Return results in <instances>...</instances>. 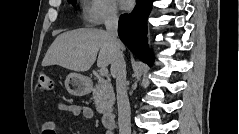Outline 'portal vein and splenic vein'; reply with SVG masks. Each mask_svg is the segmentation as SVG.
Wrapping results in <instances>:
<instances>
[{"label": "portal vein and splenic vein", "mask_w": 239, "mask_h": 134, "mask_svg": "<svg viewBox=\"0 0 239 134\" xmlns=\"http://www.w3.org/2000/svg\"><path fill=\"white\" fill-rule=\"evenodd\" d=\"M99 73L101 76L106 77L108 75V69L106 67H101Z\"/></svg>", "instance_id": "1"}]
</instances>
